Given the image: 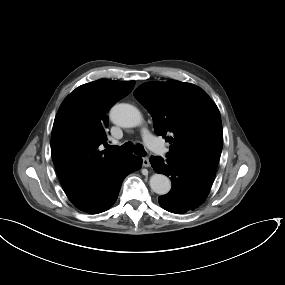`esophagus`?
I'll list each match as a JSON object with an SVG mask.
<instances>
[{"label": "esophagus", "mask_w": 285, "mask_h": 285, "mask_svg": "<svg viewBox=\"0 0 285 285\" xmlns=\"http://www.w3.org/2000/svg\"><path fill=\"white\" fill-rule=\"evenodd\" d=\"M142 164L144 167H149L150 166L149 159L147 157H143Z\"/></svg>", "instance_id": "esophagus-1"}]
</instances>
